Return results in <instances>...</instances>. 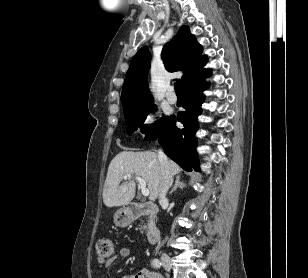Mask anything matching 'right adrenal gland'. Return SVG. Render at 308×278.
Returning <instances> with one entry per match:
<instances>
[{"mask_svg":"<svg viewBox=\"0 0 308 278\" xmlns=\"http://www.w3.org/2000/svg\"><path fill=\"white\" fill-rule=\"evenodd\" d=\"M180 178H181L180 175L176 176L174 187L172 188V190L170 191L169 194H172L174 191H176L177 188H181L182 189V188L186 187V183L181 182Z\"/></svg>","mask_w":308,"mask_h":278,"instance_id":"obj_1","label":"right adrenal gland"}]
</instances>
